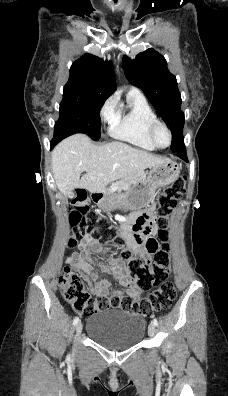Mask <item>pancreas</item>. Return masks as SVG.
Instances as JSON below:
<instances>
[{"instance_id": "obj_1", "label": "pancreas", "mask_w": 228, "mask_h": 396, "mask_svg": "<svg viewBox=\"0 0 228 396\" xmlns=\"http://www.w3.org/2000/svg\"><path fill=\"white\" fill-rule=\"evenodd\" d=\"M145 180V175L143 173H136L131 176H127L121 178L120 180L113 182L110 188L108 189L110 192L115 190L122 191L128 190L129 188L136 186L140 182Z\"/></svg>"}]
</instances>
